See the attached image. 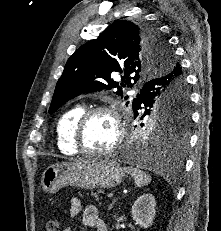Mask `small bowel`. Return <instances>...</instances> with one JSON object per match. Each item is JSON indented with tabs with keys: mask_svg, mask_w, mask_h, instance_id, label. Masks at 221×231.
<instances>
[{
	"mask_svg": "<svg viewBox=\"0 0 221 231\" xmlns=\"http://www.w3.org/2000/svg\"><path fill=\"white\" fill-rule=\"evenodd\" d=\"M82 210V203L78 198H72L69 203V214L72 218L79 215ZM83 223L95 231H108L107 225L99 217L98 209L94 205H88L84 209ZM63 231H72L71 226H67Z\"/></svg>",
	"mask_w": 221,
	"mask_h": 231,
	"instance_id": "1",
	"label": "small bowel"
}]
</instances>
